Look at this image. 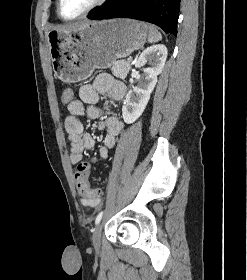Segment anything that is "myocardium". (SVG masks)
<instances>
[{"label":"myocardium","instance_id":"f54148a6","mask_svg":"<svg viewBox=\"0 0 247 280\" xmlns=\"http://www.w3.org/2000/svg\"><path fill=\"white\" fill-rule=\"evenodd\" d=\"M61 2H62V0H57V14H58V16L64 21H74V20L85 17L90 12L94 11L95 9H97L98 7H100L104 3H106L107 0H95L94 3L92 5H90L87 9H85L79 15H77L75 17H72V18H66L62 15V13H61Z\"/></svg>","mask_w":247,"mask_h":280}]
</instances>
